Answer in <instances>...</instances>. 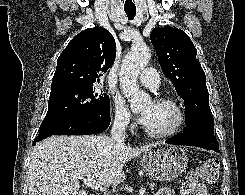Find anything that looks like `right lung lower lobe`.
I'll use <instances>...</instances> for the list:
<instances>
[{
    "instance_id": "98d812e1",
    "label": "right lung lower lobe",
    "mask_w": 245,
    "mask_h": 195,
    "mask_svg": "<svg viewBox=\"0 0 245 195\" xmlns=\"http://www.w3.org/2000/svg\"><path fill=\"white\" fill-rule=\"evenodd\" d=\"M110 121V109L97 110L39 131L33 145L52 135H89L99 133L109 127Z\"/></svg>"
}]
</instances>
